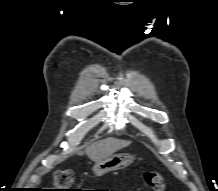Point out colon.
Returning a JSON list of instances; mask_svg holds the SVG:
<instances>
[{"label":"colon","mask_w":218,"mask_h":191,"mask_svg":"<svg viewBox=\"0 0 218 191\" xmlns=\"http://www.w3.org/2000/svg\"><path fill=\"white\" fill-rule=\"evenodd\" d=\"M144 181L153 191H164L165 189V179L159 171L146 172ZM73 182L74 172L72 170L58 171L54 176V191H77L70 188Z\"/></svg>","instance_id":"obj_1"}]
</instances>
